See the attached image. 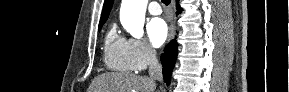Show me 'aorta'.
<instances>
[{
    "instance_id": "obj_1",
    "label": "aorta",
    "mask_w": 289,
    "mask_h": 92,
    "mask_svg": "<svg viewBox=\"0 0 289 92\" xmlns=\"http://www.w3.org/2000/svg\"><path fill=\"white\" fill-rule=\"evenodd\" d=\"M147 2L148 0H122L121 24L135 38L143 36Z\"/></svg>"
}]
</instances>
